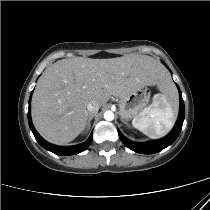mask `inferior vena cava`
<instances>
[{"mask_svg":"<svg viewBox=\"0 0 210 210\" xmlns=\"http://www.w3.org/2000/svg\"><path fill=\"white\" fill-rule=\"evenodd\" d=\"M87 110H88L89 116L94 115L95 113L98 112L99 105L96 102H90L87 105Z\"/></svg>","mask_w":210,"mask_h":210,"instance_id":"inferior-vena-cava-1","label":"inferior vena cava"}]
</instances>
